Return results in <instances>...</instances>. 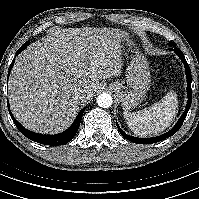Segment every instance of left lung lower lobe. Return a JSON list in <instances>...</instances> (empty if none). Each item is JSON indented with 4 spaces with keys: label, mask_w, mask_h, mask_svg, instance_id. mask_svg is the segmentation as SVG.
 Returning <instances> with one entry per match:
<instances>
[{
    "label": "left lung lower lobe",
    "mask_w": 199,
    "mask_h": 199,
    "mask_svg": "<svg viewBox=\"0 0 199 199\" xmlns=\"http://www.w3.org/2000/svg\"><path fill=\"white\" fill-rule=\"evenodd\" d=\"M169 50L174 51L179 56V58L182 60L184 67H185V72H186V76H187V96H188L186 109H185L183 115L181 116V118L176 123V125L169 132H167L161 136L154 137V138H143L142 139V138L132 137L130 135H127L125 132H123L121 130V128L118 126V124L116 123L117 128H118L119 132L121 133V135L131 142H134L137 144H151V143L159 142L161 140H164V139L174 135L182 126L183 121L190 109L191 102H192V90H191L192 76H191V71H190L189 65L187 64L186 59L179 48H177V47H175L174 49L169 48Z\"/></svg>",
    "instance_id": "obj_1"
}]
</instances>
